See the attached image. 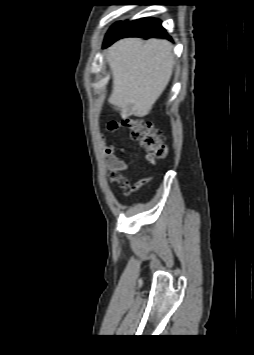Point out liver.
I'll return each instance as SVG.
<instances>
[{"mask_svg":"<svg viewBox=\"0 0 254 355\" xmlns=\"http://www.w3.org/2000/svg\"><path fill=\"white\" fill-rule=\"evenodd\" d=\"M106 60L113 82L109 102L123 118L149 114L172 75L171 43L162 39H122L108 48Z\"/></svg>","mask_w":254,"mask_h":355,"instance_id":"1","label":"liver"}]
</instances>
